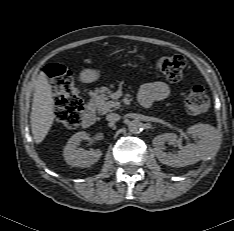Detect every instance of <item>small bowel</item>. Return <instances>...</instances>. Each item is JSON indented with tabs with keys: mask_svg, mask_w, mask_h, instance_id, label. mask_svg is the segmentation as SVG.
I'll use <instances>...</instances> for the list:
<instances>
[{
	"mask_svg": "<svg viewBox=\"0 0 234 231\" xmlns=\"http://www.w3.org/2000/svg\"><path fill=\"white\" fill-rule=\"evenodd\" d=\"M171 94L170 86L165 82H153L144 85L139 93V101L143 106H149L153 102L162 101Z\"/></svg>",
	"mask_w": 234,
	"mask_h": 231,
	"instance_id": "c3829d8e",
	"label": "small bowel"
}]
</instances>
